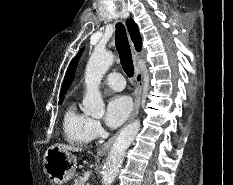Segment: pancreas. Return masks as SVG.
<instances>
[{"label":"pancreas","instance_id":"obj_1","mask_svg":"<svg viewBox=\"0 0 233 185\" xmlns=\"http://www.w3.org/2000/svg\"><path fill=\"white\" fill-rule=\"evenodd\" d=\"M74 185H84L83 182H82L81 177H77V178L74 180Z\"/></svg>","mask_w":233,"mask_h":185}]
</instances>
